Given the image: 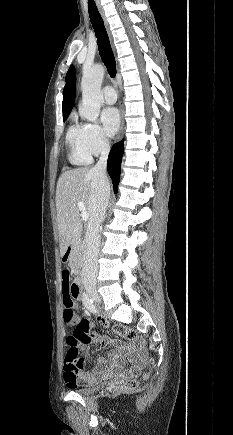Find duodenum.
<instances>
[{
  "instance_id": "obj_1",
  "label": "duodenum",
  "mask_w": 233,
  "mask_h": 435,
  "mask_svg": "<svg viewBox=\"0 0 233 435\" xmlns=\"http://www.w3.org/2000/svg\"><path fill=\"white\" fill-rule=\"evenodd\" d=\"M76 245H77V242H71L65 247V249L62 253V261L63 262H67L69 260V257L71 255V253L74 251ZM81 284H82V274L78 273L77 278L72 285L73 296L78 300L82 299Z\"/></svg>"
}]
</instances>
